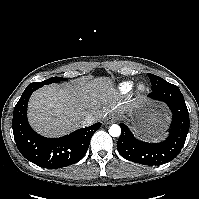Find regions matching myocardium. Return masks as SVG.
Masks as SVG:
<instances>
[{
    "instance_id": "myocardium-1",
    "label": "myocardium",
    "mask_w": 199,
    "mask_h": 199,
    "mask_svg": "<svg viewBox=\"0 0 199 199\" xmlns=\"http://www.w3.org/2000/svg\"><path fill=\"white\" fill-rule=\"evenodd\" d=\"M147 92V86L144 84V82H139L137 84V88H136V94L138 96H142Z\"/></svg>"
}]
</instances>
